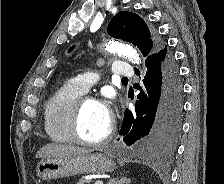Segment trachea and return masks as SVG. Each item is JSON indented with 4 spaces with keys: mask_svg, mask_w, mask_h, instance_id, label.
<instances>
[{
    "mask_svg": "<svg viewBox=\"0 0 224 184\" xmlns=\"http://www.w3.org/2000/svg\"><path fill=\"white\" fill-rule=\"evenodd\" d=\"M122 81H128V78H122Z\"/></svg>",
    "mask_w": 224,
    "mask_h": 184,
    "instance_id": "3493384b",
    "label": "trachea"
}]
</instances>
